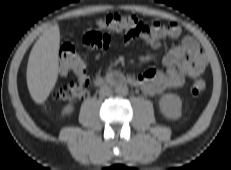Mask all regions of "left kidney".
Masks as SVG:
<instances>
[{
  "label": "left kidney",
  "mask_w": 231,
  "mask_h": 170,
  "mask_svg": "<svg viewBox=\"0 0 231 170\" xmlns=\"http://www.w3.org/2000/svg\"><path fill=\"white\" fill-rule=\"evenodd\" d=\"M161 112L169 119H178L182 115V101L175 94H165L159 101Z\"/></svg>",
  "instance_id": "obj_1"
}]
</instances>
